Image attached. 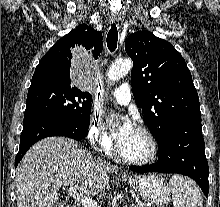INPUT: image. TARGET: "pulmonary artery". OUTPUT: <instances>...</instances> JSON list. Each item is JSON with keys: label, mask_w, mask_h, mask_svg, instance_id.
<instances>
[{"label": "pulmonary artery", "mask_w": 220, "mask_h": 207, "mask_svg": "<svg viewBox=\"0 0 220 207\" xmlns=\"http://www.w3.org/2000/svg\"><path fill=\"white\" fill-rule=\"evenodd\" d=\"M115 100L122 105H127L131 101V90L128 83H123L112 92Z\"/></svg>", "instance_id": "pulmonary-artery-1"}]
</instances>
